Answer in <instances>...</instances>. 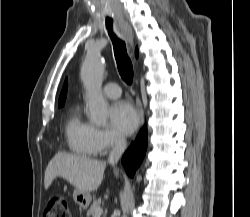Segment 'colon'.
<instances>
[{
  "instance_id": "5ec220e1",
  "label": "colon",
  "mask_w": 250,
  "mask_h": 217,
  "mask_svg": "<svg viewBox=\"0 0 250 217\" xmlns=\"http://www.w3.org/2000/svg\"><path fill=\"white\" fill-rule=\"evenodd\" d=\"M43 217H70L66 199L61 195L49 198Z\"/></svg>"
}]
</instances>
